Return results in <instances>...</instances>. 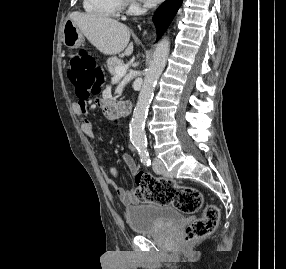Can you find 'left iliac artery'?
Returning a JSON list of instances; mask_svg holds the SVG:
<instances>
[{"instance_id": "44dca946", "label": "left iliac artery", "mask_w": 286, "mask_h": 269, "mask_svg": "<svg viewBox=\"0 0 286 269\" xmlns=\"http://www.w3.org/2000/svg\"><path fill=\"white\" fill-rule=\"evenodd\" d=\"M141 161H142L146 166H150V165H151V160H150L148 154L142 156V157H141Z\"/></svg>"}]
</instances>
